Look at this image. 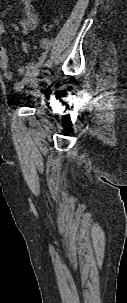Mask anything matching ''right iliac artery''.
I'll return each mask as SVG.
<instances>
[{"instance_id":"82829eb1","label":"right iliac artery","mask_w":127,"mask_h":303,"mask_svg":"<svg viewBox=\"0 0 127 303\" xmlns=\"http://www.w3.org/2000/svg\"><path fill=\"white\" fill-rule=\"evenodd\" d=\"M52 65V61L48 60L45 64H44V69L43 71H47Z\"/></svg>"}]
</instances>
